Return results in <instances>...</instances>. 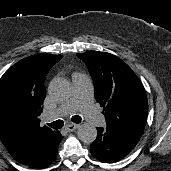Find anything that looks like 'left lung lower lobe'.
Instances as JSON below:
<instances>
[{
    "label": "left lung lower lobe",
    "instance_id": "1",
    "mask_svg": "<svg viewBox=\"0 0 171 171\" xmlns=\"http://www.w3.org/2000/svg\"><path fill=\"white\" fill-rule=\"evenodd\" d=\"M136 144L114 132L97 127V138L91 144L90 152L99 161L115 163L128 155Z\"/></svg>",
    "mask_w": 171,
    "mask_h": 171
}]
</instances>
